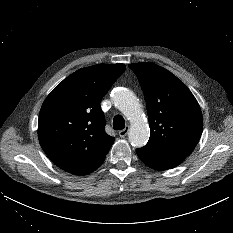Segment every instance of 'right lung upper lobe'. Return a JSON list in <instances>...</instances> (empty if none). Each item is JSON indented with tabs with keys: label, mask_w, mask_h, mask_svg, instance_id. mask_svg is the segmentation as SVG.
Here are the masks:
<instances>
[{
	"label": "right lung upper lobe",
	"mask_w": 233,
	"mask_h": 233,
	"mask_svg": "<svg viewBox=\"0 0 233 233\" xmlns=\"http://www.w3.org/2000/svg\"><path fill=\"white\" fill-rule=\"evenodd\" d=\"M125 68L124 64L81 68L45 99L39 113L38 139L59 168L85 175L103 163L114 137L105 132L100 102Z\"/></svg>",
	"instance_id": "right-lung-upper-lobe-1"
}]
</instances>
